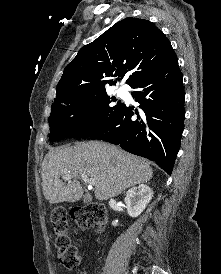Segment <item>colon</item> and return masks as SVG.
<instances>
[{"instance_id":"obj_1","label":"colon","mask_w":221,"mask_h":274,"mask_svg":"<svg viewBox=\"0 0 221 274\" xmlns=\"http://www.w3.org/2000/svg\"><path fill=\"white\" fill-rule=\"evenodd\" d=\"M71 217L80 228H95L101 230L106 223V209L99 203H92L83 207L74 208ZM50 222L55 233V246L58 259L67 269H76L81 262L79 249L71 244L67 234V211L62 206L55 207L50 215Z\"/></svg>"}]
</instances>
